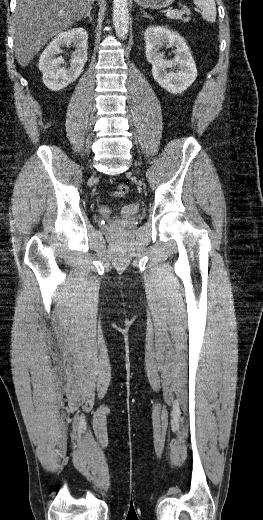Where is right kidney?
Segmentation results:
<instances>
[{
    "label": "right kidney",
    "mask_w": 263,
    "mask_h": 520,
    "mask_svg": "<svg viewBox=\"0 0 263 520\" xmlns=\"http://www.w3.org/2000/svg\"><path fill=\"white\" fill-rule=\"evenodd\" d=\"M88 33L84 28H74L58 34L46 47L39 59V70L43 74V83L52 91H60L74 82L83 72L87 61ZM73 46L70 66L63 67L64 59L58 54L61 47Z\"/></svg>",
    "instance_id": "1"
}]
</instances>
